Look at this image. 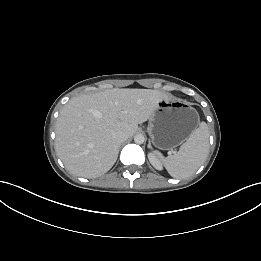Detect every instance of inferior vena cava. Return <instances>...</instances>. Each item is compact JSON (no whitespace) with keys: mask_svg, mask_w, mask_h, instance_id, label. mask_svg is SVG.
<instances>
[{"mask_svg":"<svg viewBox=\"0 0 261 261\" xmlns=\"http://www.w3.org/2000/svg\"><path fill=\"white\" fill-rule=\"evenodd\" d=\"M128 138V135L124 132H116L113 134V139L117 144L123 143Z\"/></svg>","mask_w":261,"mask_h":261,"instance_id":"inferior-vena-cava-1","label":"inferior vena cava"}]
</instances>
